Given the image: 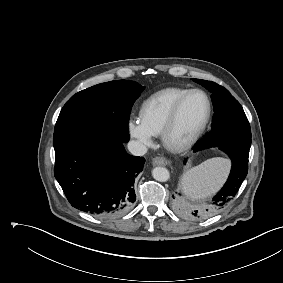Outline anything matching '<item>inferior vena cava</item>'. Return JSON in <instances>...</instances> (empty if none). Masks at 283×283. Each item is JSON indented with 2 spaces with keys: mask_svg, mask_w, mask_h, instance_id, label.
<instances>
[{
  "mask_svg": "<svg viewBox=\"0 0 283 283\" xmlns=\"http://www.w3.org/2000/svg\"><path fill=\"white\" fill-rule=\"evenodd\" d=\"M128 150L135 156H143L147 152V147L139 141H130L128 143Z\"/></svg>",
  "mask_w": 283,
  "mask_h": 283,
  "instance_id": "inferior-vena-cava-1",
  "label": "inferior vena cava"
}]
</instances>
